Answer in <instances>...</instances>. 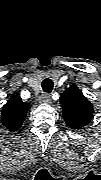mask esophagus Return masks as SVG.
Instances as JSON below:
<instances>
[{
	"instance_id": "34e87169",
	"label": "esophagus",
	"mask_w": 101,
	"mask_h": 180,
	"mask_svg": "<svg viewBox=\"0 0 101 180\" xmlns=\"http://www.w3.org/2000/svg\"><path fill=\"white\" fill-rule=\"evenodd\" d=\"M39 101L42 104H49L51 103V97L49 94H44L40 97Z\"/></svg>"
}]
</instances>
